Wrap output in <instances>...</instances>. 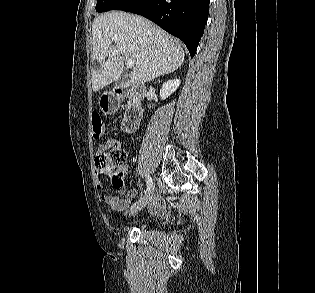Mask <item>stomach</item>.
Listing matches in <instances>:
<instances>
[{"label": "stomach", "instance_id": "obj_1", "mask_svg": "<svg viewBox=\"0 0 315 293\" xmlns=\"http://www.w3.org/2000/svg\"><path fill=\"white\" fill-rule=\"evenodd\" d=\"M122 103V96L119 92H102L99 99V106L104 113H109L111 110H119Z\"/></svg>", "mask_w": 315, "mask_h": 293}]
</instances>
